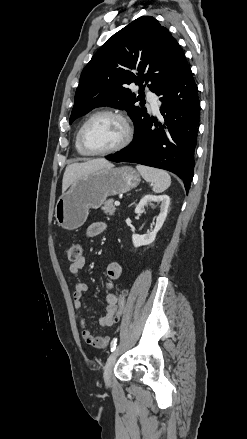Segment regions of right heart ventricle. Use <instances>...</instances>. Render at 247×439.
I'll return each instance as SVG.
<instances>
[{"label":"right heart ventricle","instance_id":"e07e8e85","mask_svg":"<svg viewBox=\"0 0 247 439\" xmlns=\"http://www.w3.org/2000/svg\"><path fill=\"white\" fill-rule=\"evenodd\" d=\"M78 133H79V131L76 133V136H75V141H74L75 148H76V150H77V152H78L79 154H81V155H86V154L83 152V150L81 149L80 145H79Z\"/></svg>","mask_w":247,"mask_h":439}]
</instances>
